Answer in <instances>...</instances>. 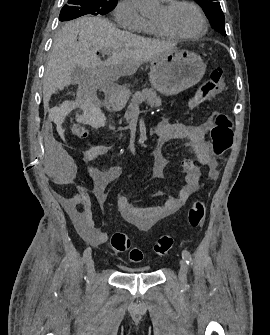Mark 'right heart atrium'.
<instances>
[{
    "instance_id": "right-heart-atrium-1",
    "label": "right heart atrium",
    "mask_w": 270,
    "mask_h": 335,
    "mask_svg": "<svg viewBox=\"0 0 270 335\" xmlns=\"http://www.w3.org/2000/svg\"><path fill=\"white\" fill-rule=\"evenodd\" d=\"M113 18L116 24L129 31H142L144 18L140 15L135 0H119Z\"/></svg>"
}]
</instances>
